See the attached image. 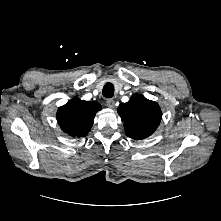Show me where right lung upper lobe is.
I'll return each instance as SVG.
<instances>
[{"instance_id": "right-lung-upper-lobe-1", "label": "right lung upper lobe", "mask_w": 221, "mask_h": 221, "mask_svg": "<svg viewBox=\"0 0 221 221\" xmlns=\"http://www.w3.org/2000/svg\"><path fill=\"white\" fill-rule=\"evenodd\" d=\"M99 110H101L99 103L75 98L59 107L57 121L61 129L70 136L84 137L91 130L95 114Z\"/></svg>"}]
</instances>
